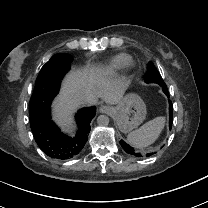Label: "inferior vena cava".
Returning <instances> with one entry per match:
<instances>
[{"label":"inferior vena cava","instance_id":"inferior-vena-cava-1","mask_svg":"<svg viewBox=\"0 0 208 208\" xmlns=\"http://www.w3.org/2000/svg\"><path fill=\"white\" fill-rule=\"evenodd\" d=\"M73 97L78 100L80 104L92 103V96L86 94L85 90H77L72 93Z\"/></svg>","mask_w":208,"mask_h":208}]
</instances>
